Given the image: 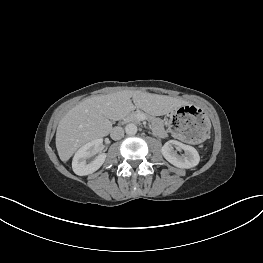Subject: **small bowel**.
<instances>
[{
	"label": "small bowel",
	"instance_id": "obj_1",
	"mask_svg": "<svg viewBox=\"0 0 263 263\" xmlns=\"http://www.w3.org/2000/svg\"><path fill=\"white\" fill-rule=\"evenodd\" d=\"M155 131L159 135H163V133H164L162 127L158 123L155 124Z\"/></svg>",
	"mask_w": 263,
	"mask_h": 263
}]
</instances>
